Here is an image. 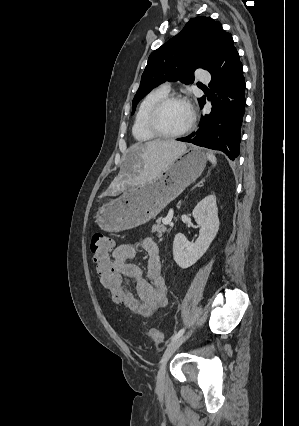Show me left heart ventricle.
Returning a JSON list of instances; mask_svg holds the SVG:
<instances>
[{
    "label": "left heart ventricle",
    "instance_id": "1",
    "mask_svg": "<svg viewBox=\"0 0 299 426\" xmlns=\"http://www.w3.org/2000/svg\"><path fill=\"white\" fill-rule=\"evenodd\" d=\"M190 107L183 102H172L161 113L160 124L167 132H178L190 122Z\"/></svg>",
    "mask_w": 299,
    "mask_h": 426
}]
</instances>
